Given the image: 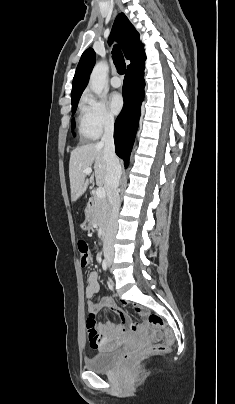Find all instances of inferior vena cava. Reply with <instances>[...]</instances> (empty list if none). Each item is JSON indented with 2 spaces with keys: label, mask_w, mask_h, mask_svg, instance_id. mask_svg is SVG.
Returning <instances> with one entry per match:
<instances>
[{
  "label": "inferior vena cava",
  "mask_w": 235,
  "mask_h": 404,
  "mask_svg": "<svg viewBox=\"0 0 235 404\" xmlns=\"http://www.w3.org/2000/svg\"><path fill=\"white\" fill-rule=\"evenodd\" d=\"M114 119L112 117L107 118L104 124V134L101 139V143L104 146V156L107 165L106 174V190L108 201L111 205L110 218L104 237V253L114 254V241L118 228V215L120 207V197H119V182L121 178V165L119 159L115 154L114 147Z\"/></svg>",
  "instance_id": "1"
}]
</instances>
